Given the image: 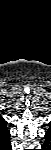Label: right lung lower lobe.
<instances>
[{"mask_svg":"<svg viewBox=\"0 0 51 150\" xmlns=\"http://www.w3.org/2000/svg\"><path fill=\"white\" fill-rule=\"evenodd\" d=\"M3 147H4V150H11L10 142L7 145L3 146Z\"/></svg>","mask_w":51,"mask_h":150,"instance_id":"1","label":"right lung lower lobe"}]
</instances>
